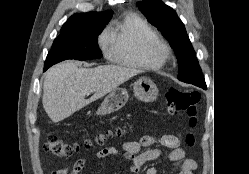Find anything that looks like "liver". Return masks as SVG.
<instances>
[{
	"instance_id": "6515ba94",
	"label": "liver",
	"mask_w": 249,
	"mask_h": 174,
	"mask_svg": "<svg viewBox=\"0 0 249 174\" xmlns=\"http://www.w3.org/2000/svg\"><path fill=\"white\" fill-rule=\"evenodd\" d=\"M140 73L141 70L117 65L81 68L73 62L60 63L45 75L44 110L53 122L62 121ZM91 92L93 96L85 99Z\"/></svg>"
}]
</instances>
